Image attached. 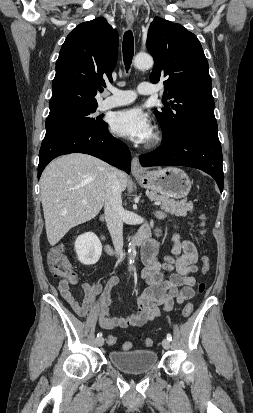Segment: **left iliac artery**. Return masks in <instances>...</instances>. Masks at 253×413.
I'll return each instance as SVG.
<instances>
[{"instance_id":"1","label":"left iliac artery","mask_w":253,"mask_h":413,"mask_svg":"<svg viewBox=\"0 0 253 413\" xmlns=\"http://www.w3.org/2000/svg\"><path fill=\"white\" fill-rule=\"evenodd\" d=\"M167 339L169 340V341H171L172 340V336H171V334H167Z\"/></svg>"}]
</instances>
